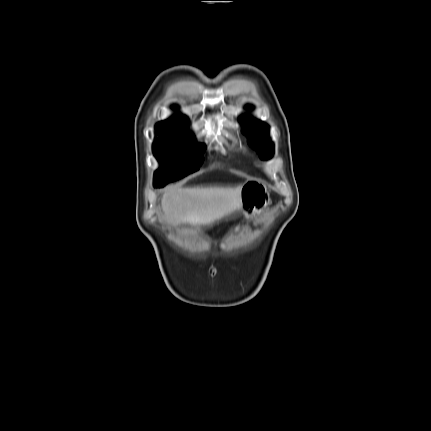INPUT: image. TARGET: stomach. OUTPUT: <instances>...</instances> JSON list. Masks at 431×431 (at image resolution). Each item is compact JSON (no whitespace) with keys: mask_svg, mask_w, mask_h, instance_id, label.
<instances>
[{"mask_svg":"<svg viewBox=\"0 0 431 431\" xmlns=\"http://www.w3.org/2000/svg\"><path fill=\"white\" fill-rule=\"evenodd\" d=\"M240 200L246 218L259 214L270 203L266 186L257 181H246L242 185Z\"/></svg>","mask_w":431,"mask_h":431,"instance_id":"stomach-1","label":"stomach"}]
</instances>
